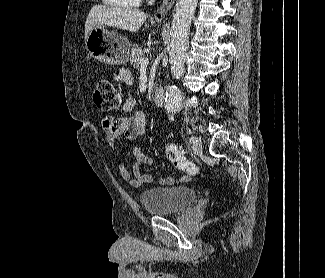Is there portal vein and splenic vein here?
Instances as JSON below:
<instances>
[{
	"label": "portal vein and splenic vein",
	"mask_w": 325,
	"mask_h": 278,
	"mask_svg": "<svg viewBox=\"0 0 325 278\" xmlns=\"http://www.w3.org/2000/svg\"><path fill=\"white\" fill-rule=\"evenodd\" d=\"M149 64V59L147 57H143L141 59L140 65L142 68L146 67Z\"/></svg>",
	"instance_id": "portal-vein-and-splenic-vein-1"
}]
</instances>
